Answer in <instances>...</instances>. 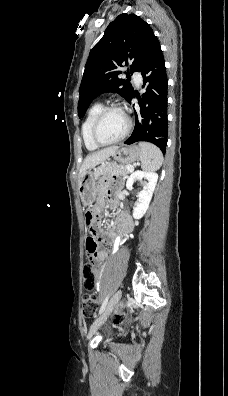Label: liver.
I'll list each match as a JSON object with an SVG mask.
<instances>
[{
    "label": "liver",
    "mask_w": 228,
    "mask_h": 396,
    "mask_svg": "<svg viewBox=\"0 0 228 396\" xmlns=\"http://www.w3.org/2000/svg\"><path fill=\"white\" fill-rule=\"evenodd\" d=\"M118 148H119L118 146H111V147L104 148L100 151L94 152L92 154H89L85 158V160L80 168L79 178L82 175V173L85 172L86 170L91 169V168L97 166L98 164L106 161L110 156H112V154Z\"/></svg>",
    "instance_id": "6515ba94"
}]
</instances>
